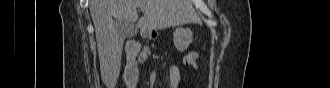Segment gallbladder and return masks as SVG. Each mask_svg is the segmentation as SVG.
Instances as JSON below:
<instances>
[{
  "instance_id": "obj_1",
  "label": "gallbladder",
  "mask_w": 330,
  "mask_h": 88,
  "mask_svg": "<svg viewBox=\"0 0 330 88\" xmlns=\"http://www.w3.org/2000/svg\"><path fill=\"white\" fill-rule=\"evenodd\" d=\"M116 27L124 38H132L136 35L137 29L134 23H126L120 20L115 21Z\"/></svg>"
}]
</instances>
